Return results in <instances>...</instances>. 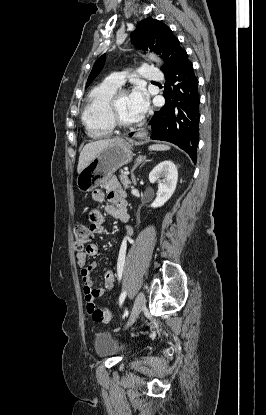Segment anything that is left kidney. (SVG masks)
<instances>
[{"instance_id":"left-kidney-1","label":"left kidney","mask_w":266,"mask_h":415,"mask_svg":"<svg viewBox=\"0 0 266 415\" xmlns=\"http://www.w3.org/2000/svg\"><path fill=\"white\" fill-rule=\"evenodd\" d=\"M149 181L151 183L158 182L157 196L151 207L158 208L163 206L176 189L178 181L176 165L172 161H162L150 172Z\"/></svg>"}]
</instances>
